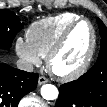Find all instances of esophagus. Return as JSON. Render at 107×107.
<instances>
[{"instance_id": "1", "label": "esophagus", "mask_w": 107, "mask_h": 107, "mask_svg": "<svg viewBox=\"0 0 107 107\" xmlns=\"http://www.w3.org/2000/svg\"><path fill=\"white\" fill-rule=\"evenodd\" d=\"M49 80L47 78H45L44 76H40L38 79V83L39 85L45 84L47 83Z\"/></svg>"}]
</instances>
